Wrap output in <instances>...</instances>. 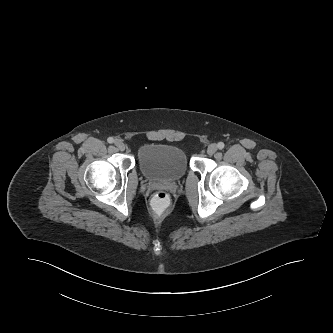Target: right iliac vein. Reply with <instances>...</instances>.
<instances>
[{
	"label": "right iliac vein",
	"mask_w": 333,
	"mask_h": 333,
	"mask_svg": "<svg viewBox=\"0 0 333 333\" xmlns=\"http://www.w3.org/2000/svg\"><path fill=\"white\" fill-rule=\"evenodd\" d=\"M114 144H115L116 148L121 150V151H123L125 149V144L121 140H116L114 142Z\"/></svg>",
	"instance_id": "63e3f726"
}]
</instances>
